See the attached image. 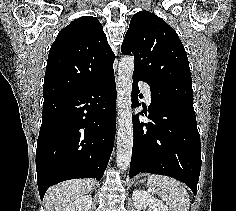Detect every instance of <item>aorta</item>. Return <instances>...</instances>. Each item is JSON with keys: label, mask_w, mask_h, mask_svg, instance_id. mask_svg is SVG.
Listing matches in <instances>:
<instances>
[{"label": "aorta", "mask_w": 236, "mask_h": 211, "mask_svg": "<svg viewBox=\"0 0 236 211\" xmlns=\"http://www.w3.org/2000/svg\"><path fill=\"white\" fill-rule=\"evenodd\" d=\"M134 57L124 56L118 66L117 78V157L116 162L120 170L124 171L130 165L133 147V123L131 111V93L134 72Z\"/></svg>", "instance_id": "aorta-1"}]
</instances>
